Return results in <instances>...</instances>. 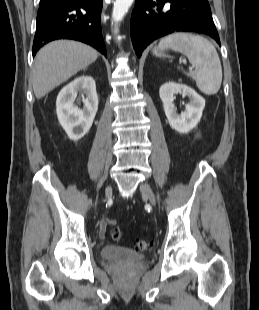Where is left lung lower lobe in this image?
Listing matches in <instances>:
<instances>
[{
  "mask_svg": "<svg viewBox=\"0 0 259 310\" xmlns=\"http://www.w3.org/2000/svg\"><path fill=\"white\" fill-rule=\"evenodd\" d=\"M165 3L171 4L167 10ZM174 31L206 34L220 45L208 0H136L131 38L138 57L155 39Z\"/></svg>",
  "mask_w": 259,
  "mask_h": 310,
  "instance_id": "0a47b994",
  "label": "left lung lower lobe"
}]
</instances>
